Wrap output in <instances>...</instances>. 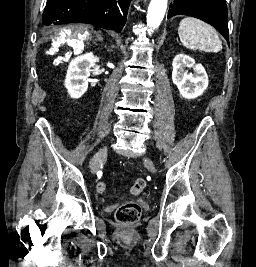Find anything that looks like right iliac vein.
Masks as SVG:
<instances>
[{
	"mask_svg": "<svg viewBox=\"0 0 256 267\" xmlns=\"http://www.w3.org/2000/svg\"><path fill=\"white\" fill-rule=\"evenodd\" d=\"M108 153V147H103L101 148L95 155L94 157L92 158V161H91V172L92 173H95L99 166H100V163L104 160L105 158V155Z\"/></svg>",
	"mask_w": 256,
	"mask_h": 267,
	"instance_id": "obj_1",
	"label": "right iliac vein"
}]
</instances>
